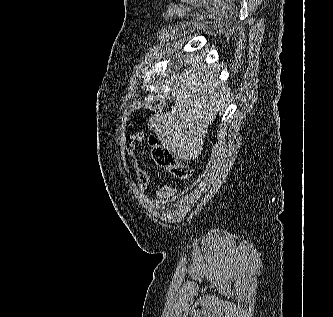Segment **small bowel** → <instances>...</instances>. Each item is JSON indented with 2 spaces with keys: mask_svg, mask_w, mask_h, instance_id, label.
I'll list each match as a JSON object with an SVG mask.
<instances>
[{
  "mask_svg": "<svg viewBox=\"0 0 333 317\" xmlns=\"http://www.w3.org/2000/svg\"><path fill=\"white\" fill-rule=\"evenodd\" d=\"M144 133L142 132H137L134 134H131L126 137L125 139V149L128 154V156L132 159V162L134 164L135 170H136V175H137V180H138V188L141 192H144L148 189L149 183H150V177L147 173L146 170H144L138 162V158L136 155V146L138 143L143 142L144 140ZM176 188L170 186V185H165L161 187L159 190L156 191L155 193V199L159 201L160 203H167L171 199L174 198L176 195Z\"/></svg>",
  "mask_w": 333,
  "mask_h": 317,
  "instance_id": "small-bowel-1",
  "label": "small bowel"
}]
</instances>
